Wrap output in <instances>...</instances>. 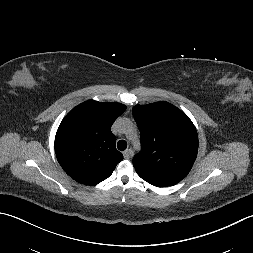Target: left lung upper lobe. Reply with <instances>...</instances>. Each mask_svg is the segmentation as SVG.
Instances as JSON below:
<instances>
[{
  "label": "left lung upper lobe",
  "instance_id": "1",
  "mask_svg": "<svg viewBox=\"0 0 253 253\" xmlns=\"http://www.w3.org/2000/svg\"><path fill=\"white\" fill-rule=\"evenodd\" d=\"M132 113L142 145L133 158L136 172L157 187L177 184L191 170L198 152V135L192 121L167 102L136 105Z\"/></svg>",
  "mask_w": 253,
  "mask_h": 253
}]
</instances>
